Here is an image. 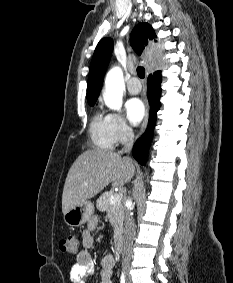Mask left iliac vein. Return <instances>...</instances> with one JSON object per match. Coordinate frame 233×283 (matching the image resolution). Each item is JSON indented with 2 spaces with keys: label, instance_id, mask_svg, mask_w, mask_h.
I'll return each mask as SVG.
<instances>
[{
  "label": "left iliac vein",
  "instance_id": "4c4485c4",
  "mask_svg": "<svg viewBox=\"0 0 233 283\" xmlns=\"http://www.w3.org/2000/svg\"><path fill=\"white\" fill-rule=\"evenodd\" d=\"M128 283H130V280H129V278H128Z\"/></svg>",
  "mask_w": 233,
  "mask_h": 283
}]
</instances>
